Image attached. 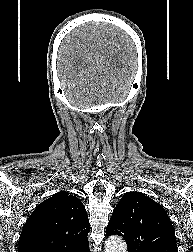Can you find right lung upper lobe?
<instances>
[{"label":"right lung upper lobe","mask_w":193,"mask_h":252,"mask_svg":"<svg viewBox=\"0 0 193 252\" xmlns=\"http://www.w3.org/2000/svg\"><path fill=\"white\" fill-rule=\"evenodd\" d=\"M89 220L76 196L59 192L27 219L18 252H80L88 247Z\"/></svg>","instance_id":"right-lung-upper-lobe-1"}]
</instances>
